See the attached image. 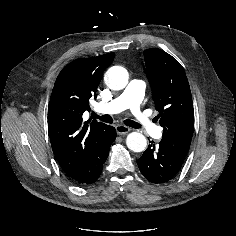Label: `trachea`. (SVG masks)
Masks as SVG:
<instances>
[{"label":"trachea","mask_w":236,"mask_h":236,"mask_svg":"<svg viewBox=\"0 0 236 236\" xmlns=\"http://www.w3.org/2000/svg\"><path fill=\"white\" fill-rule=\"evenodd\" d=\"M92 118L99 119L102 122L109 123V124L113 123V118L110 115L99 116L93 112ZM124 124L127 126H130L132 128H140V125L138 123H136L135 121L129 120V119L125 120Z\"/></svg>","instance_id":"obj_1"}]
</instances>
